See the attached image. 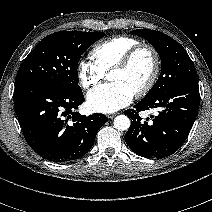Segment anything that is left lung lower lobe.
<instances>
[{"label": "left lung lower lobe", "instance_id": "1", "mask_svg": "<svg viewBox=\"0 0 212 212\" xmlns=\"http://www.w3.org/2000/svg\"><path fill=\"white\" fill-rule=\"evenodd\" d=\"M135 109L124 113L132 119L125 134L129 148L145 158H165L176 152L185 142L199 108L198 79L180 83L165 92L141 100ZM157 108L153 122L141 121L138 112Z\"/></svg>", "mask_w": 212, "mask_h": 212}]
</instances>
